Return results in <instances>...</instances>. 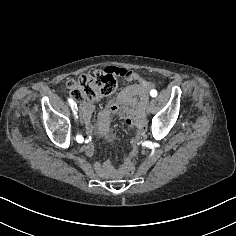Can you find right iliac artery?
I'll return each instance as SVG.
<instances>
[{
	"mask_svg": "<svg viewBox=\"0 0 236 236\" xmlns=\"http://www.w3.org/2000/svg\"><path fill=\"white\" fill-rule=\"evenodd\" d=\"M68 101L71 104V108L74 112V115L77 114V112L75 111V109H77V104L75 102H73L72 99H69ZM76 118H78L77 115H76ZM76 140H77L78 143H82L84 141V138L81 135H77Z\"/></svg>",
	"mask_w": 236,
	"mask_h": 236,
	"instance_id": "right-iliac-artery-1",
	"label": "right iliac artery"
}]
</instances>
